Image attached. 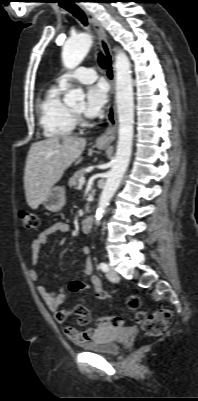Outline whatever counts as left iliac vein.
I'll use <instances>...</instances> for the list:
<instances>
[{"label": "left iliac vein", "instance_id": "obj_1", "mask_svg": "<svg viewBox=\"0 0 198 401\" xmlns=\"http://www.w3.org/2000/svg\"><path fill=\"white\" fill-rule=\"evenodd\" d=\"M106 277L111 282H117L119 280V276H118L117 272L113 268H110L108 270V272L106 273Z\"/></svg>", "mask_w": 198, "mask_h": 401}]
</instances>
